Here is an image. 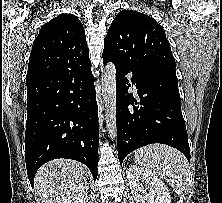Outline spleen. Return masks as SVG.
<instances>
[{"label":"spleen","instance_id":"1","mask_svg":"<svg viewBox=\"0 0 222 203\" xmlns=\"http://www.w3.org/2000/svg\"><path fill=\"white\" fill-rule=\"evenodd\" d=\"M135 162L167 180L177 194H182L188 182L189 167L185 156L164 144H150L135 151Z\"/></svg>","mask_w":222,"mask_h":203}]
</instances>
